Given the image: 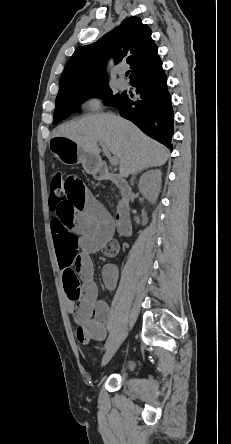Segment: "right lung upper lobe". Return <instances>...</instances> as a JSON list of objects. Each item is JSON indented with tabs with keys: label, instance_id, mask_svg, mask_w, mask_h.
Instances as JSON below:
<instances>
[{
	"label": "right lung upper lobe",
	"instance_id": "cb5924a9",
	"mask_svg": "<svg viewBox=\"0 0 231 444\" xmlns=\"http://www.w3.org/2000/svg\"><path fill=\"white\" fill-rule=\"evenodd\" d=\"M151 29L139 17H131L95 43L77 48L67 62L60 79L58 94L108 85L106 59L124 60L132 69L133 81L162 65Z\"/></svg>",
	"mask_w": 231,
	"mask_h": 444
}]
</instances>
